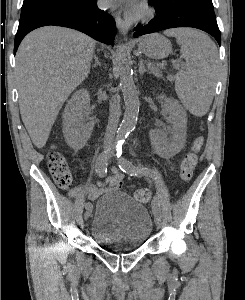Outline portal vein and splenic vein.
Returning <instances> with one entry per match:
<instances>
[{
    "label": "portal vein and splenic vein",
    "instance_id": "obj_1",
    "mask_svg": "<svg viewBox=\"0 0 245 300\" xmlns=\"http://www.w3.org/2000/svg\"><path fill=\"white\" fill-rule=\"evenodd\" d=\"M177 62H178L177 60H173L172 61V63H173L174 66H177ZM149 65H151V64H149Z\"/></svg>",
    "mask_w": 245,
    "mask_h": 300
}]
</instances>
